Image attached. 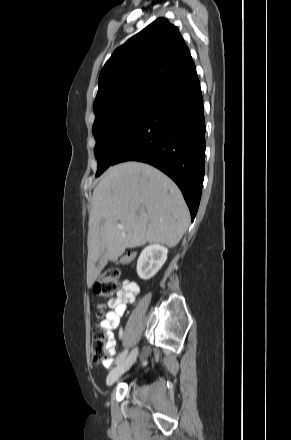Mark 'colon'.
<instances>
[{
    "label": "colon",
    "mask_w": 291,
    "mask_h": 440,
    "mask_svg": "<svg viewBox=\"0 0 291 440\" xmlns=\"http://www.w3.org/2000/svg\"><path fill=\"white\" fill-rule=\"evenodd\" d=\"M121 291L118 265H112L104 270L93 289L94 294L101 297H108ZM106 335L105 329L100 326H96L92 331L91 357L94 362H104L111 358Z\"/></svg>",
    "instance_id": "colon-1"
}]
</instances>
